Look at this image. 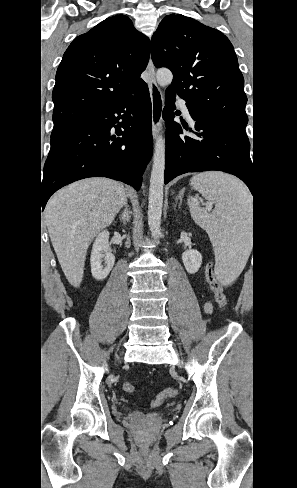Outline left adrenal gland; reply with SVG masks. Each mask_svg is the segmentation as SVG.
I'll return each mask as SVG.
<instances>
[{
	"mask_svg": "<svg viewBox=\"0 0 297 488\" xmlns=\"http://www.w3.org/2000/svg\"><path fill=\"white\" fill-rule=\"evenodd\" d=\"M183 194H184V188L179 192L178 196L176 197V200H179L180 201V204L179 206L182 204L183 202Z\"/></svg>",
	"mask_w": 297,
	"mask_h": 488,
	"instance_id": "1",
	"label": "left adrenal gland"
}]
</instances>
